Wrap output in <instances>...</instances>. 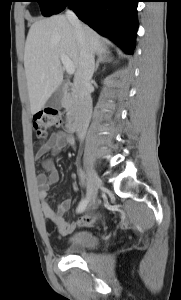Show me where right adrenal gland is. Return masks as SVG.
Listing matches in <instances>:
<instances>
[{
	"label": "right adrenal gland",
	"mask_w": 181,
	"mask_h": 300,
	"mask_svg": "<svg viewBox=\"0 0 181 300\" xmlns=\"http://www.w3.org/2000/svg\"><path fill=\"white\" fill-rule=\"evenodd\" d=\"M105 61H111L110 53L109 52H101L98 54V58L95 64L94 72L97 71L99 64Z\"/></svg>",
	"instance_id": "right-adrenal-gland-1"
}]
</instances>
